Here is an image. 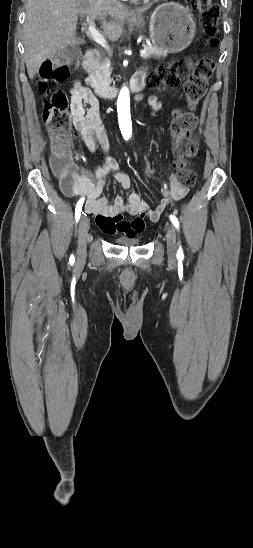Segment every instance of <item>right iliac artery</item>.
Here are the masks:
<instances>
[{"mask_svg":"<svg viewBox=\"0 0 253 548\" xmlns=\"http://www.w3.org/2000/svg\"><path fill=\"white\" fill-rule=\"evenodd\" d=\"M84 200H85V198H81V199L77 202V205H76V208H75V219H76V222H78L79 219H80L81 210H82V206H83ZM71 259H73V256H71Z\"/></svg>","mask_w":253,"mask_h":548,"instance_id":"obj_1","label":"right iliac artery"}]
</instances>
